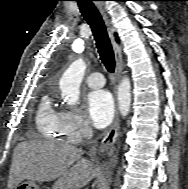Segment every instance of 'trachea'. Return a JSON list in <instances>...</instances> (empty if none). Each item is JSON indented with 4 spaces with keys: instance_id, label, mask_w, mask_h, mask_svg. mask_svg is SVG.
I'll return each instance as SVG.
<instances>
[{
    "instance_id": "obj_1",
    "label": "trachea",
    "mask_w": 188,
    "mask_h": 189,
    "mask_svg": "<svg viewBox=\"0 0 188 189\" xmlns=\"http://www.w3.org/2000/svg\"><path fill=\"white\" fill-rule=\"evenodd\" d=\"M76 1L83 17L92 29L102 63L104 64L108 72L113 73L115 70V56L104 21L99 11L92 3V0Z\"/></svg>"
}]
</instances>
